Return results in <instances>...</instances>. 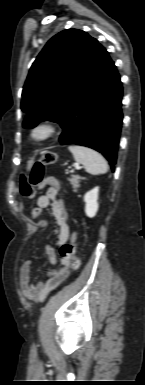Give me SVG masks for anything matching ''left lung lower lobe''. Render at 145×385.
Segmentation results:
<instances>
[{"mask_svg":"<svg viewBox=\"0 0 145 385\" xmlns=\"http://www.w3.org/2000/svg\"><path fill=\"white\" fill-rule=\"evenodd\" d=\"M122 94L116 66L99 44L91 68L62 125L60 142L92 148L102 153L111 165L116 164L123 118Z\"/></svg>","mask_w":145,"mask_h":385,"instance_id":"left-lung-lower-lobe-1","label":"left lung lower lobe"}]
</instances>
